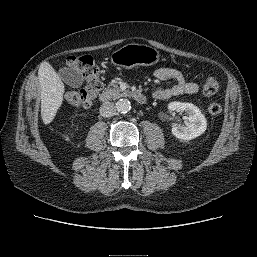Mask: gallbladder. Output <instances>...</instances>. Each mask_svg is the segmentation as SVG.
<instances>
[{
  "label": "gallbladder",
  "instance_id": "bac80fb5",
  "mask_svg": "<svg viewBox=\"0 0 257 257\" xmlns=\"http://www.w3.org/2000/svg\"><path fill=\"white\" fill-rule=\"evenodd\" d=\"M62 80L73 88H78L83 83V77L79 70L74 67H63L59 70Z\"/></svg>",
  "mask_w": 257,
  "mask_h": 257
}]
</instances>
